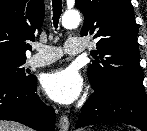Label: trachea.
<instances>
[{"label": "trachea", "instance_id": "trachea-1", "mask_svg": "<svg viewBox=\"0 0 147 131\" xmlns=\"http://www.w3.org/2000/svg\"><path fill=\"white\" fill-rule=\"evenodd\" d=\"M52 6H53V24L54 27L57 28L60 15L62 13V0H52Z\"/></svg>", "mask_w": 147, "mask_h": 131}]
</instances>
